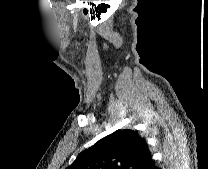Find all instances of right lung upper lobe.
I'll return each instance as SVG.
<instances>
[{"label": "right lung upper lobe", "instance_id": "obj_1", "mask_svg": "<svg viewBox=\"0 0 208 169\" xmlns=\"http://www.w3.org/2000/svg\"><path fill=\"white\" fill-rule=\"evenodd\" d=\"M152 155L133 130H117L82 151L66 169H145Z\"/></svg>", "mask_w": 208, "mask_h": 169}]
</instances>
